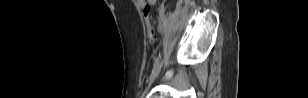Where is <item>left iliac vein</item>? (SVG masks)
I'll return each instance as SVG.
<instances>
[{
    "label": "left iliac vein",
    "instance_id": "1",
    "mask_svg": "<svg viewBox=\"0 0 308 98\" xmlns=\"http://www.w3.org/2000/svg\"><path fill=\"white\" fill-rule=\"evenodd\" d=\"M159 71L155 72L154 74L151 75L150 77V83L157 77Z\"/></svg>",
    "mask_w": 308,
    "mask_h": 98
}]
</instances>
